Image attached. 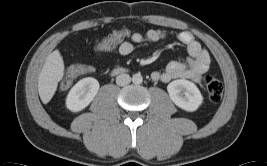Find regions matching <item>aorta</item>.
Segmentation results:
<instances>
[{"label":"aorta","instance_id":"aorta-1","mask_svg":"<svg viewBox=\"0 0 267 166\" xmlns=\"http://www.w3.org/2000/svg\"><path fill=\"white\" fill-rule=\"evenodd\" d=\"M143 81V77L140 73H136L132 76V82L134 84H141Z\"/></svg>","mask_w":267,"mask_h":166}]
</instances>
